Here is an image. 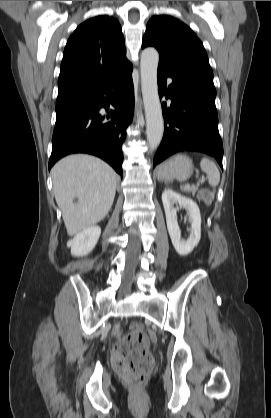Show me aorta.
Instances as JSON below:
<instances>
[{"label":"aorta","mask_w":271,"mask_h":418,"mask_svg":"<svg viewBox=\"0 0 271 418\" xmlns=\"http://www.w3.org/2000/svg\"><path fill=\"white\" fill-rule=\"evenodd\" d=\"M159 54L155 48H146L141 53V88L145 108L147 141L152 150L161 143L164 132L162 108L158 95L157 68Z\"/></svg>","instance_id":"1"}]
</instances>
